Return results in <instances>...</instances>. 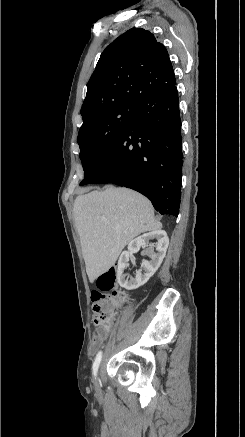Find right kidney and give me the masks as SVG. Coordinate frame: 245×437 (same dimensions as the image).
Returning a JSON list of instances; mask_svg holds the SVG:
<instances>
[{"mask_svg":"<svg viewBox=\"0 0 245 437\" xmlns=\"http://www.w3.org/2000/svg\"><path fill=\"white\" fill-rule=\"evenodd\" d=\"M156 239L157 246L154 252L153 248H147L145 253L151 258V261L143 260L141 269L138 270L134 277L126 278L124 270L128 266L129 257L139 251L140 247H145L150 240ZM169 244V238L164 230H156L145 233L128 245V250L122 252L118 260L117 281L119 285L127 290H134L148 282L160 267Z\"/></svg>","mask_w":245,"mask_h":437,"instance_id":"right-kidney-1","label":"right kidney"}]
</instances>
